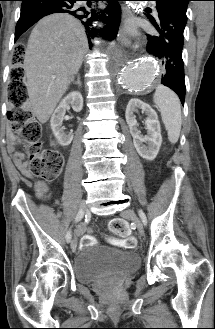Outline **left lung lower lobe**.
Returning <instances> with one entry per match:
<instances>
[{
	"mask_svg": "<svg viewBox=\"0 0 215 329\" xmlns=\"http://www.w3.org/2000/svg\"><path fill=\"white\" fill-rule=\"evenodd\" d=\"M156 9L157 22L151 17L149 19L159 34L148 35L147 51L165 65L166 73L162 75L161 83L176 92L184 105L185 80L182 50L186 22L164 8L156 6Z\"/></svg>",
	"mask_w": 215,
	"mask_h": 329,
	"instance_id": "1",
	"label": "left lung lower lobe"
}]
</instances>
